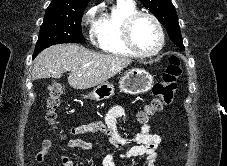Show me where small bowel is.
I'll return each instance as SVG.
<instances>
[{
	"label": "small bowel",
	"mask_w": 227,
	"mask_h": 166,
	"mask_svg": "<svg viewBox=\"0 0 227 166\" xmlns=\"http://www.w3.org/2000/svg\"><path fill=\"white\" fill-rule=\"evenodd\" d=\"M125 115V108L122 105H116L106 115L105 122H96L88 125H79L71 128L74 135L84 134H105L107 141L115 148L130 146L123 153H108L103 157V166H137V163H129V159L143 158L145 166H156L158 161L157 149L161 144V137L153 133L147 122L142 123L141 130L133 135H124L117 127V119ZM72 148H82L88 151H94L93 144L77 138L69 142ZM58 150L50 138L43 140L40 150L35 155V162L41 164L47 156L57 154ZM77 162L68 157L61 156L59 166H76Z\"/></svg>",
	"instance_id": "1"
}]
</instances>
